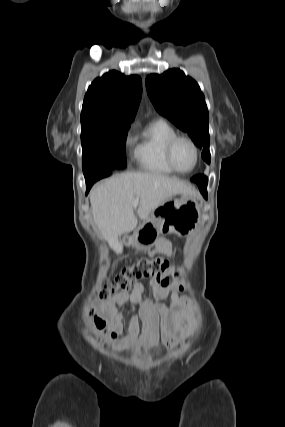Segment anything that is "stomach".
<instances>
[{
	"instance_id": "stomach-1",
	"label": "stomach",
	"mask_w": 285,
	"mask_h": 427,
	"mask_svg": "<svg viewBox=\"0 0 285 427\" xmlns=\"http://www.w3.org/2000/svg\"><path fill=\"white\" fill-rule=\"evenodd\" d=\"M202 206L195 196L180 194L166 200L134 231L131 244L147 249L161 234L187 235L195 230L201 218Z\"/></svg>"
}]
</instances>
